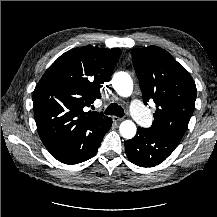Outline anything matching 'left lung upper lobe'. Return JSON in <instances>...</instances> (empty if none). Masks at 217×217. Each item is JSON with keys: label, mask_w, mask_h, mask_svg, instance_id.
<instances>
[{"label": "left lung upper lobe", "mask_w": 217, "mask_h": 217, "mask_svg": "<svg viewBox=\"0 0 217 217\" xmlns=\"http://www.w3.org/2000/svg\"><path fill=\"white\" fill-rule=\"evenodd\" d=\"M133 65L144 103L156 104L151 129L181 141L196 100V85L188 71L157 46L132 50Z\"/></svg>", "instance_id": "5c2ea615"}]
</instances>
